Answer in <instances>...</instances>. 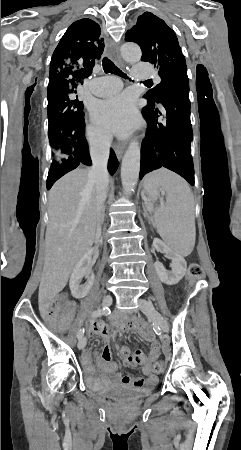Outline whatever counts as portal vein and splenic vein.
Returning a JSON list of instances; mask_svg holds the SVG:
<instances>
[{
	"instance_id": "1",
	"label": "portal vein and splenic vein",
	"mask_w": 241,
	"mask_h": 450,
	"mask_svg": "<svg viewBox=\"0 0 241 450\" xmlns=\"http://www.w3.org/2000/svg\"><path fill=\"white\" fill-rule=\"evenodd\" d=\"M153 202H143V207H150V208H148L147 209V212L148 213H154L155 212V209L154 208H151V207H153Z\"/></svg>"
}]
</instances>
